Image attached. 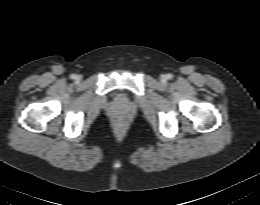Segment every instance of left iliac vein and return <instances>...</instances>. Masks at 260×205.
Listing matches in <instances>:
<instances>
[{
    "instance_id": "obj_1",
    "label": "left iliac vein",
    "mask_w": 260,
    "mask_h": 205,
    "mask_svg": "<svg viewBox=\"0 0 260 205\" xmlns=\"http://www.w3.org/2000/svg\"><path fill=\"white\" fill-rule=\"evenodd\" d=\"M161 80L164 82V81L166 80V76L163 75V76L161 77Z\"/></svg>"
}]
</instances>
